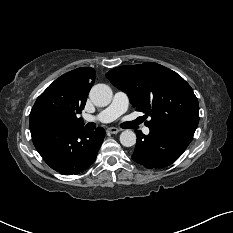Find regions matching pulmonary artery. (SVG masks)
Instances as JSON below:
<instances>
[{
    "label": "pulmonary artery",
    "mask_w": 233,
    "mask_h": 233,
    "mask_svg": "<svg viewBox=\"0 0 233 233\" xmlns=\"http://www.w3.org/2000/svg\"><path fill=\"white\" fill-rule=\"evenodd\" d=\"M128 105H129V98L127 94L121 91L116 92L113 97L112 103L107 108H105L95 116L86 115L85 120L98 121L102 123L111 122L116 118H118L123 113H125L126 110L128 109ZM143 132L145 134H148L150 130L148 127H144Z\"/></svg>",
    "instance_id": "obj_1"
}]
</instances>
